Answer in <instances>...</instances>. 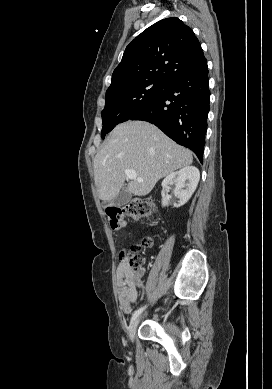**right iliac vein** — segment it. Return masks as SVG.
Here are the masks:
<instances>
[{
    "mask_svg": "<svg viewBox=\"0 0 272 389\" xmlns=\"http://www.w3.org/2000/svg\"><path fill=\"white\" fill-rule=\"evenodd\" d=\"M140 318L135 319L129 328V338L133 342L136 336L137 327L139 325Z\"/></svg>",
    "mask_w": 272,
    "mask_h": 389,
    "instance_id": "1",
    "label": "right iliac vein"
}]
</instances>
